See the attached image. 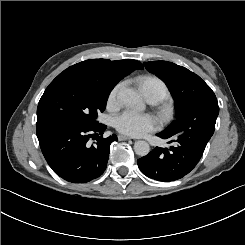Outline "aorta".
I'll return each mask as SVG.
<instances>
[{
  "label": "aorta",
  "instance_id": "obj_1",
  "mask_svg": "<svg viewBox=\"0 0 245 245\" xmlns=\"http://www.w3.org/2000/svg\"><path fill=\"white\" fill-rule=\"evenodd\" d=\"M118 97L126 106L143 108L142 99L134 89L123 87L119 90ZM134 151L137 155L143 157L150 152V146L146 141L139 140L134 144Z\"/></svg>",
  "mask_w": 245,
  "mask_h": 245
}]
</instances>
